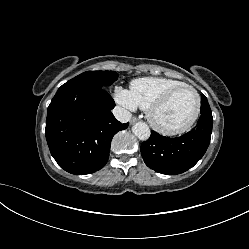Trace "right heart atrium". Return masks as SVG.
I'll list each match as a JSON object with an SVG mask.
<instances>
[{
    "label": "right heart atrium",
    "instance_id": "obj_1",
    "mask_svg": "<svg viewBox=\"0 0 249 249\" xmlns=\"http://www.w3.org/2000/svg\"><path fill=\"white\" fill-rule=\"evenodd\" d=\"M115 99L120 105L124 106L127 109L134 110L137 107L130 94V91L122 87H116Z\"/></svg>",
    "mask_w": 249,
    "mask_h": 249
}]
</instances>
